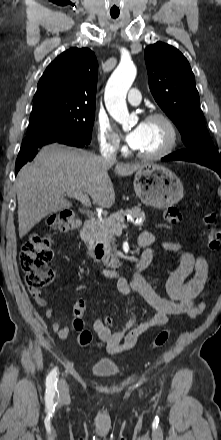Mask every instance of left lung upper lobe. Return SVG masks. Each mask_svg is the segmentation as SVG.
<instances>
[{
	"label": "left lung upper lobe",
	"instance_id": "left-lung-upper-lobe-1",
	"mask_svg": "<svg viewBox=\"0 0 221 440\" xmlns=\"http://www.w3.org/2000/svg\"><path fill=\"white\" fill-rule=\"evenodd\" d=\"M150 91L177 126L187 149L175 152L185 161L221 168L220 155L205 125L199 94L189 62L176 48L162 42L144 52Z\"/></svg>",
	"mask_w": 221,
	"mask_h": 440
}]
</instances>
